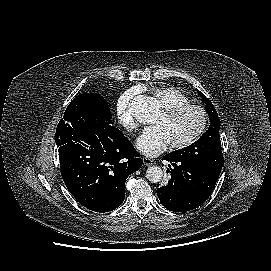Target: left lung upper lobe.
Instances as JSON below:
<instances>
[{"label": "left lung upper lobe", "mask_w": 271, "mask_h": 271, "mask_svg": "<svg viewBox=\"0 0 271 271\" xmlns=\"http://www.w3.org/2000/svg\"><path fill=\"white\" fill-rule=\"evenodd\" d=\"M205 103L210 118V128L193 144L171 152L179 160L197 164L210 173L219 176L223 166V154L220 141V120L211 101L198 91Z\"/></svg>", "instance_id": "left-lung-upper-lobe-1"}]
</instances>
